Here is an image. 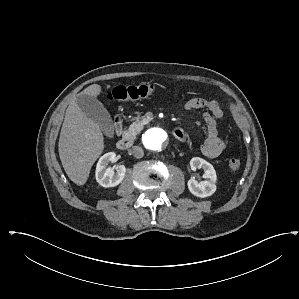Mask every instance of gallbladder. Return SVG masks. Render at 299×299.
Listing matches in <instances>:
<instances>
[{
	"label": "gallbladder",
	"mask_w": 299,
	"mask_h": 299,
	"mask_svg": "<svg viewBox=\"0 0 299 299\" xmlns=\"http://www.w3.org/2000/svg\"><path fill=\"white\" fill-rule=\"evenodd\" d=\"M76 102L81 110L94 120L104 133H110L113 128L112 119L107 109L97 98L80 94L76 97Z\"/></svg>",
	"instance_id": "1"
}]
</instances>
